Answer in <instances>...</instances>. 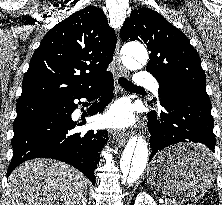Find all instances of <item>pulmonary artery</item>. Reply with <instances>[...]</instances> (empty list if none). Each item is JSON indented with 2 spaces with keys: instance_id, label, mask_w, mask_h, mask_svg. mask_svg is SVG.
Here are the masks:
<instances>
[{
  "instance_id": "e3ab8cb5",
  "label": "pulmonary artery",
  "mask_w": 222,
  "mask_h": 205,
  "mask_svg": "<svg viewBox=\"0 0 222 205\" xmlns=\"http://www.w3.org/2000/svg\"><path fill=\"white\" fill-rule=\"evenodd\" d=\"M135 85L143 89H150L157 93V80L154 76L146 72H138L135 77Z\"/></svg>"
}]
</instances>
